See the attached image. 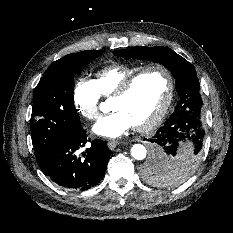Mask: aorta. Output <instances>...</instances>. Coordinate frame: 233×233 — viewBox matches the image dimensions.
<instances>
[{
	"label": "aorta",
	"instance_id": "aorta-1",
	"mask_svg": "<svg viewBox=\"0 0 233 233\" xmlns=\"http://www.w3.org/2000/svg\"><path fill=\"white\" fill-rule=\"evenodd\" d=\"M131 155L136 160H143L147 155V150L142 144H134L131 148Z\"/></svg>",
	"mask_w": 233,
	"mask_h": 233
}]
</instances>
